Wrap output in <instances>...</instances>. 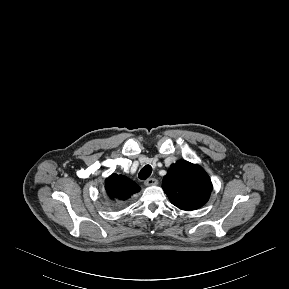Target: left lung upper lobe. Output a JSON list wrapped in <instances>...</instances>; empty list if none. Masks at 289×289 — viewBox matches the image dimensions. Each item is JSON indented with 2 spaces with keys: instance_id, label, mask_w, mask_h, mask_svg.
<instances>
[{
  "instance_id": "left-lung-upper-lobe-1",
  "label": "left lung upper lobe",
  "mask_w": 289,
  "mask_h": 289,
  "mask_svg": "<svg viewBox=\"0 0 289 289\" xmlns=\"http://www.w3.org/2000/svg\"><path fill=\"white\" fill-rule=\"evenodd\" d=\"M162 188L173 205L190 211L202 207L208 201L212 183L199 165L180 160L169 168L163 178Z\"/></svg>"
}]
</instances>
